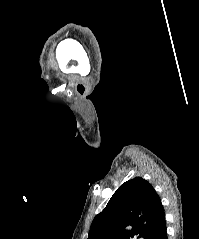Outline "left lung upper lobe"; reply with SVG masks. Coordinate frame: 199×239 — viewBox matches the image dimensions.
Returning <instances> with one entry per match:
<instances>
[{"label": "left lung upper lobe", "mask_w": 199, "mask_h": 239, "mask_svg": "<svg viewBox=\"0 0 199 239\" xmlns=\"http://www.w3.org/2000/svg\"><path fill=\"white\" fill-rule=\"evenodd\" d=\"M162 211L161 200L152 185L136 177L123 183L94 218L88 239H147Z\"/></svg>", "instance_id": "1"}]
</instances>
